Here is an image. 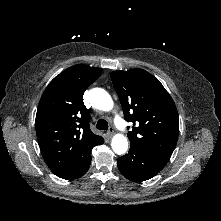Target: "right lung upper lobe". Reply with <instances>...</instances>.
I'll return each instance as SVG.
<instances>
[{"mask_svg":"<svg viewBox=\"0 0 221 221\" xmlns=\"http://www.w3.org/2000/svg\"><path fill=\"white\" fill-rule=\"evenodd\" d=\"M102 69L84 64L56 76L45 89L36 114L38 143L50 170L60 174L91 155L104 142L90 130L89 110L83 103L85 90Z\"/></svg>","mask_w":221,"mask_h":221,"instance_id":"cb5924a9","label":"right lung upper lobe"}]
</instances>
